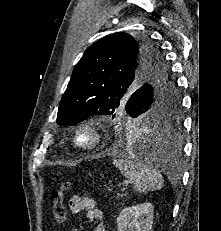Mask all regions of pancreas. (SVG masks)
<instances>
[{
	"mask_svg": "<svg viewBox=\"0 0 221 231\" xmlns=\"http://www.w3.org/2000/svg\"><path fill=\"white\" fill-rule=\"evenodd\" d=\"M118 197H123V194H118Z\"/></svg>",
	"mask_w": 221,
	"mask_h": 231,
	"instance_id": "cf45deb5",
	"label": "pancreas"
}]
</instances>
